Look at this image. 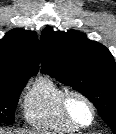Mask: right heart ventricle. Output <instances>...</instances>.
<instances>
[{
  "label": "right heart ventricle",
  "instance_id": "1",
  "mask_svg": "<svg viewBox=\"0 0 116 134\" xmlns=\"http://www.w3.org/2000/svg\"><path fill=\"white\" fill-rule=\"evenodd\" d=\"M65 89L49 76H39L25 94L22 109L25 120L34 127L59 133H74L79 128L63 116L59 99Z\"/></svg>",
  "mask_w": 116,
  "mask_h": 134
}]
</instances>
